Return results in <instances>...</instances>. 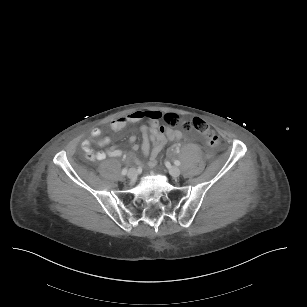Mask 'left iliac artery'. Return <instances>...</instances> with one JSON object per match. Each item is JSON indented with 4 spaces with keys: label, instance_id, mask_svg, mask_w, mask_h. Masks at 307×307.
I'll use <instances>...</instances> for the list:
<instances>
[{
    "label": "left iliac artery",
    "instance_id": "44dca946",
    "mask_svg": "<svg viewBox=\"0 0 307 307\" xmlns=\"http://www.w3.org/2000/svg\"><path fill=\"white\" fill-rule=\"evenodd\" d=\"M174 164H175L176 166H180V165H181V163H180L179 160H175V161H174Z\"/></svg>",
    "mask_w": 307,
    "mask_h": 307
}]
</instances>
